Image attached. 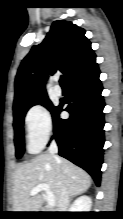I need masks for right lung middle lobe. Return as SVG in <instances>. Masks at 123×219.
<instances>
[{"mask_svg":"<svg viewBox=\"0 0 123 219\" xmlns=\"http://www.w3.org/2000/svg\"><path fill=\"white\" fill-rule=\"evenodd\" d=\"M36 104H42L48 110L51 111V114L54 113L56 106H53L51 101L48 99L47 94L29 100L15 108H13V116H14V142L16 148V157L21 158L24 153V134H23V124H24V117L28 109Z\"/></svg>","mask_w":123,"mask_h":219,"instance_id":"1","label":"right lung middle lobe"}]
</instances>
